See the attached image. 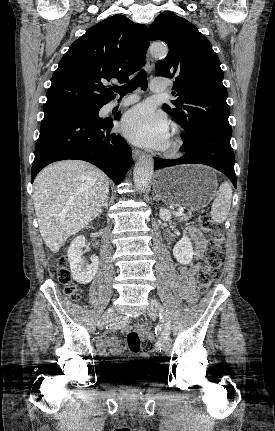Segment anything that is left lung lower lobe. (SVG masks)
Here are the masks:
<instances>
[{"mask_svg": "<svg viewBox=\"0 0 275 431\" xmlns=\"http://www.w3.org/2000/svg\"><path fill=\"white\" fill-rule=\"evenodd\" d=\"M183 139L182 148L187 153L179 159H154V169L180 164H205L224 173L236 188L237 179L234 171V153L230 137L218 135H198Z\"/></svg>", "mask_w": 275, "mask_h": 431, "instance_id": "obj_1", "label": "left lung lower lobe"}]
</instances>
